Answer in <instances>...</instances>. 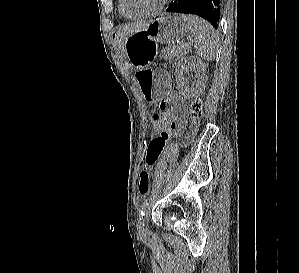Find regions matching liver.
Instances as JSON below:
<instances>
[{"instance_id": "obj_1", "label": "liver", "mask_w": 299, "mask_h": 273, "mask_svg": "<svg viewBox=\"0 0 299 273\" xmlns=\"http://www.w3.org/2000/svg\"><path fill=\"white\" fill-rule=\"evenodd\" d=\"M151 23L152 20L144 22L127 23L119 27L115 37V46L121 59L126 61L125 65L127 67H132V65L127 60L124 48L126 39L133 33L147 29Z\"/></svg>"}]
</instances>
